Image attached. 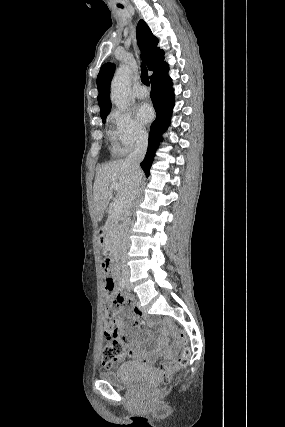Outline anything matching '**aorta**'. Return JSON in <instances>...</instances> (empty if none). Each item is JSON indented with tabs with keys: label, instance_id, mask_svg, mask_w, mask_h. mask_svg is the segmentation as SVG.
I'll return each instance as SVG.
<instances>
[{
	"label": "aorta",
	"instance_id": "aorta-1",
	"mask_svg": "<svg viewBox=\"0 0 285 427\" xmlns=\"http://www.w3.org/2000/svg\"><path fill=\"white\" fill-rule=\"evenodd\" d=\"M130 87L131 70L128 66L121 65L111 84V100L121 110H125L128 107Z\"/></svg>",
	"mask_w": 285,
	"mask_h": 427
}]
</instances>
